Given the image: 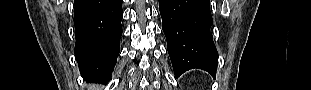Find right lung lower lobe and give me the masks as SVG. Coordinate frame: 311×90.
<instances>
[{"label":"right lung lower lobe","mask_w":311,"mask_h":90,"mask_svg":"<svg viewBox=\"0 0 311 90\" xmlns=\"http://www.w3.org/2000/svg\"><path fill=\"white\" fill-rule=\"evenodd\" d=\"M122 0H75V57L81 76L108 80L120 49Z\"/></svg>","instance_id":"obj_1"}]
</instances>
